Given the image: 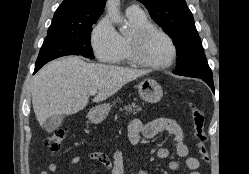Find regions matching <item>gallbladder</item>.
<instances>
[{
  "instance_id": "1",
  "label": "gallbladder",
  "mask_w": 249,
  "mask_h": 174,
  "mask_svg": "<svg viewBox=\"0 0 249 174\" xmlns=\"http://www.w3.org/2000/svg\"><path fill=\"white\" fill-rule=\"evenodd\" d=\"M63 122V116L62 115H53L52 117H49L45 120L43 123V128L47 132H52L55 129H57Z\"/></svg>"
}]
</instances>
